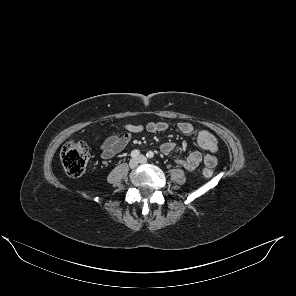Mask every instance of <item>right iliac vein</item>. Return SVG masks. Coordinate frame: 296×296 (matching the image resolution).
Returning a JSON list of instances; mask_svg holds the SVG:
<instances>
[{
	"label": "right iliac vein",
	"instance_id": "obj_1",
	"mask_svg": "<svg viewBox=\"0 0 296 296\" xmlns=\"http://www.w3.org/2000/svg\"><path fill=\"white\" fill-rule=\"evenodd\" d=\"M138 163H139V160L137 158H133L129 162V167L131 169H134V168H136L138 166Z\"/></svg>",
	"mask_w": 296,
	"mask_h": 296
}]
</instances>
